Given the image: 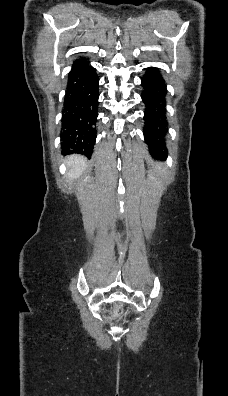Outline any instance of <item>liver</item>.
<instances>
[{"instance_id": "1", "label": "liver", "mask_w": 228, "mask_h": 396, "mask_svg": "<svg viewBox=\"0 0 228 396\" xmlns=\"http://www.w3.org/2000/svg\"><path fill=\"white\" fill-rule=\"evenodd\" d=\"M69 171L67 177L75 180L80 177L86 166V158L80 155H72L67 158Z\"/></svg>"}]
</instances>
